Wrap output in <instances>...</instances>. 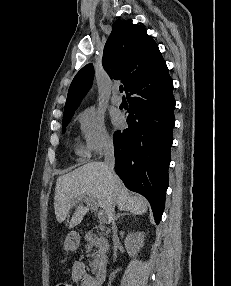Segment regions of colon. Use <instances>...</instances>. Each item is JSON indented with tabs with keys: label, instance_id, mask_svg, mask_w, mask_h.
I'll return each mask as SVG.
<instances>
[{
	"label": "colon",
	"instance_id": "obj_1",
	"mask_svg": "<svg viewBox=\"0 0 231 286\" xmlns=\"http://www.w3.org/2000/svg\"><path fill=\"white\" fill-rule=\"evenodd\" d=\"M56 286H72V285L66 282H61V283H58Z\"/></svg>",
	"mask_w": 231,
	"mask_h": 286
}]
</instances>
